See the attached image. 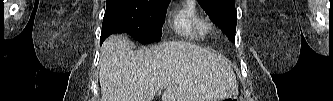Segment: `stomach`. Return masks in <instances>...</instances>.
Wrapping results in <instances>:
<instances>
[{
    "label": "stomach",
    "instance_id": "obj_1",
    "mask_svg": "<svg viewBox=\"0 0 333 101\" xmlns=\"http://www.w3.org/2000/svg\"><path fill=\"white\" fill-rule=\"evenodd\" d=\"M234 100H236V97L234 95H232V96H229V97L223 99L222 101H234Z\"/></svg>",
    "mask_w": 333,
    "mask_h": 101
}]
</instances>
